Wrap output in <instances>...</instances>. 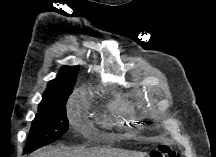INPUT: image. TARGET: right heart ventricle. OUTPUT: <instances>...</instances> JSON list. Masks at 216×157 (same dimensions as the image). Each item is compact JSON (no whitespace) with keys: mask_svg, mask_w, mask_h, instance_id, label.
I'll return each instance as SVG.
<instances>
[{"mask_svg":"<svg viewBox=\"0 0 216 157\" xmlns=\"http://www.w3.org/2000/svg\"><path fill=\"white\" fill-rule=\"evenodd\" d=\"M109 108L112 112V119L104 120L102 125L122 128L130 121L135 120L141 105L134 95L120 93L110 99Z\"/></svg>","mask_w":216,"mask_h":157,"instance_id":"1","label":"right heart ventricle"}]
</instances>
